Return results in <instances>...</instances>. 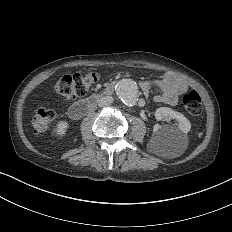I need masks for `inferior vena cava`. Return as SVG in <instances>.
Instances as JSON below:
<instances>
[{"label": "inferior vena cava", "instance_id": "inferior-vena-cava-1", "mask_svg": "<svg viewBox=\"0 0 232 232\" xmlns=\"http://www.w3.org/2000/svg\"><path fill=\"white\" fill-rule=\"evenodd\" d=\"M113 102V98L111 96H105L100 99L101 106H107Z\"/></svg>", "mask_w": 232, "mask_h": 232}]
</instances>
